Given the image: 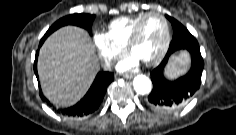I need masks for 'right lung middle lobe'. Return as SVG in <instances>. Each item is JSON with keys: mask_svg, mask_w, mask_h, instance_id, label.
<instances>
[{"mask_svg": "<svg viewBox=\"0 0 236 135\" xmlns=\"http://www.w3.org/2000/svg\"><path fill=\"white\" fill-rule=\"evenodd\" d=\"M95 18V15L90 14H72L68 15L66 17L61 18L57 22H55L46 32V34L43 36L44 38H47L52 32L57 30L58 28L65 26V25H77L80 27H83L91 33V26L93 23V20Z\"/></svg>", "mask_w": 236, "mask_h": 135, "instance_id": "right-lung-middle-lobe-1", "label": "right lung middle lobe"}]
</instances>
